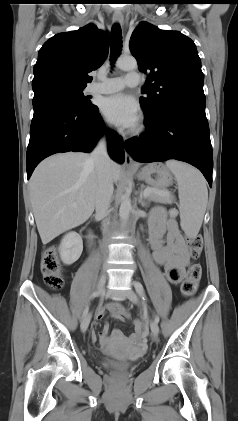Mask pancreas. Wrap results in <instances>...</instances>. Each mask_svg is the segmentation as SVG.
Wrapping results in <instances>:
<instances>
[{"label": "pancreas", "mask_w": 238, "mask_h": 421, "mask_svg": "<svg viewBox=\"0 0 238 421\" xmlns=\"http://www.w3.org/2000/svg\"><path fill=\"white\" fill-rule=\"evenodd\" d=\"M147 189H154V190L164 191V190H161L159 188H154V187H148ZM164 192H167V191H164ZM148 201L149 202H151V201H153V202H160V203H164V204H171L172 203V197L170 196V194H168V195L150 194L148 196Z\"/></svg>", "instance_id": "pancreas-1"}]
</instances>
